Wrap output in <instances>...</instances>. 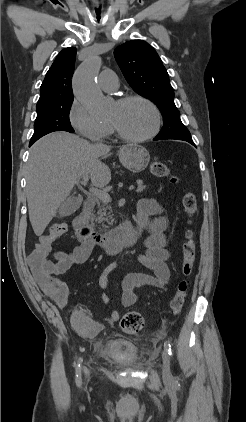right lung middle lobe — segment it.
Returning <instances> with one entry per match:
<instances>
[{
	"instance_id": "1",
	"label": "right lung middle lobe",
	"mask_w": 246,
	"mask_h": 422,
	"mask_svg": "<svg viewBox=\"0 0 246 422\" xmlns=\"http://www.w3.org/2000/svg\"><path fill=\"white\" fill-rule=\"evenodd\" d=\"M73 98H65L37 108L34 134L30 143L54 131L74 132L69 120Z\"/></svg>"
}]
</instances>
